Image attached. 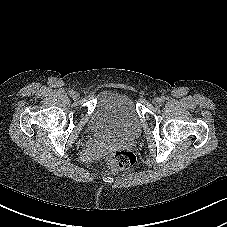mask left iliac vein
<instances>
[{"instance_id": "left-iliac-vein-1", "label": "left iliac vein", "mask_w": 227, "mask_h": 227, "mask_svg": "<svg viewBox=\"0 0 227 227\" xmlns=\"http://www.w3.org/2000/svg\"><path fill=\"white\" fill-rule=\"evenodd\" d=\"M161 103H162L161 98H155V99L153 100V104H154V106H156V107H159V106L161 105Z\"/></svg>"}]
</instances>
